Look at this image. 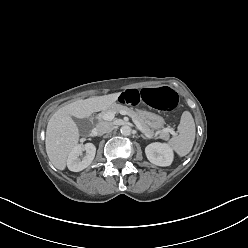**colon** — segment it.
Listing matches in <instances>:
<instances>
[{"mask_svg": "<svg viewBox=\"0 0 248 248\" xmlns=\"http://www.w3.org/2000/svg\"><path fill=\"white\" fill-rule=\"evenodd\" d=\"M116 100L121 105H136L147 103L155 109L168 112L178 105V96L169 87L128 89L117 95Z\"/></svg>", "mask_w": 248, "mask_h": 248, "instance_id": "5ec220e1", "label": "colon"}]
</instances>
